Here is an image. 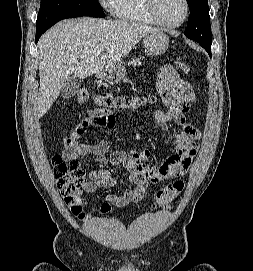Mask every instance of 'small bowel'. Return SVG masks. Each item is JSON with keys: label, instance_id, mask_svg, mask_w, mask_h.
I'll list each match as a JSON object with an SVG mask.
<instances>
[{"label": "small bowel", "instance_id": "c3829d8e", "mask_svg": "<svg viewBox=\"0 0 253 271\" xmlns=\"http://www.w3.org/2000/svg\"><path fill=\"white\" fill-rule=\"evenodd\" d=\"M156 88L164 106L156 110L151 115V119L168 133L177 151L158 167L147 164L150 151L146 148H140L132 154L123 151L114 152L110 156V163L130 172L129 181L133 187L127 188L122 195L108 194L106 200L112 205H126L141 200L150 183L167 181L183 175L196 155V140L200 138L201 133L187 119V114L195 99L193 89L189 84L180 80L175 68L169 64L159 67ZM168 123L181 126L183 131H170L167 127ZM90 126L111 129L115 126V118L112 114L107 113L102 116L88 115L82 119L76 129L64 138V158L76 159L92 156L98 162L105 163L107 161L105 155L109 145L106 140L95 144L79 142L80 137ZM88 176L90 180L89 191H95L100 187H110L117 182L112 173L106 169L91 170ZM105 205L107 206H103L104 212L110 209L109 204Z\"/></svg>", "mask_w": 253, "mask_h": 271}]
</instances>
